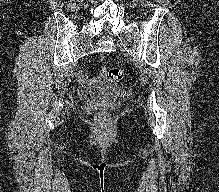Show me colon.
Here are the masks:
<instances>
[{
  "label": "colon",
  "instance_id": "1",
  "mask_svg": "<svg viewBox=\"0 0 219 192\" xmlns=\"http://www.w3.org/2000/svg\"><path fill=\"white\" fill-rule=\"evenodd\" d=\"M108 77L112 81H120L124 78V72L120 68L112 67L108 71ZM94 119L99 127H105L109 124V116L105 112H98Z\"/></svg>",
  "mask_w": 219,
  "mask_h": 192
}]
</instances>
